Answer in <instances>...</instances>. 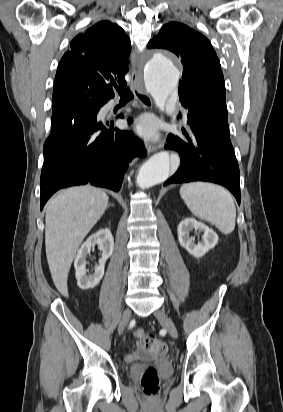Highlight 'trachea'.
I'll return each instance as SVG.
<instances>
[{
    "mask_svg": "<svg viewBox=\"0 0 283 412\" xmlns=\"http://www.w3.org/2000/svg\"><path fill=\"white\" fill-rule=\"evenodd\" d=\"M116 90L120 95V101L121 102H128L131 99H133V94H132V92L130 91L129 88L123 89V88H120V87H116Z\"/></svg>",
    "mask_w": 283,
    "mask_h": 412,
    "instance_id": "obj_1",
    "label": "trachea"
}]
</instances>
